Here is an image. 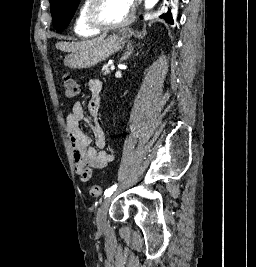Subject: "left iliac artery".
Here are the masks:
<instances>
[{
	"label": "left iliac artery",
	"instance_id": "44dca946",
	"mask_svg": "<svg viewBox=\"0 0 256 267\" xmlns=\"http://www.w3.org/2000/svg\"><path fill=\"white\" fill-rule=\"evenodd\" d=\"M117 184L111 186L110 188L106 189L104 192L105 197L110 196L113 194V192L116 190Z\"/></svg>",
	"mask_w": 256,
	"mask_h": 267
}]
</instances>
